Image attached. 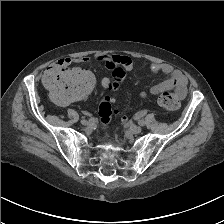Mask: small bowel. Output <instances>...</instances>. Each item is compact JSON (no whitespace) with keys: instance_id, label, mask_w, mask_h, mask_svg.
<instances>
[{"instance_id":"c3829d8e","label":"small bowel","mask_w":224,"mask_h":224,"mask_svg":"<svg viewBox=\"0 0 224 224\" xmlns=\"http://www.w3.org/2000/svg\"><path fill=\"white\" fill-rule=\"evenodd\" d=\"M96 59L104 62L106 67L110 69L120 67L126 71H132L135 66L134 60L131 57L126 55L109 54V55L99 56ZM89 60L90 59L86 56L77 57L74 59L63 58V59H60L56 65L66 66L71 64V62L85 63V62H88ZM52 68L53 67H50L47 70L46 74ZM150 69L154 73H162L164 75H167L168 78L152 86L148 92H142L141 93L142 98H146L148 95H156L168 90H174L180 99L186 96L187 79L182 74V72H180L179 70L173 69L168 64H163V63H152L150 65Z\"/></svg>"}]
</instances>
